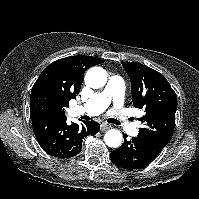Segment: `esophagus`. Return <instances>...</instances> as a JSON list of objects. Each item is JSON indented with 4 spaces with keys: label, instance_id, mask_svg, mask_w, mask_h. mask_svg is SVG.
Returning <instances> with one entry per match:
<instances>
[{
    "label": "esophagus",
    "instance_id": "esophagus-1",
    "mask_svg": "<svg viewBox=\"0 0 199 199\" xmlns=\"http://www.w3.org/2000/svg\"><path fill=\"white\" fill-rule=\"evenodd\" d=\"M109 128H111L110 124H107V123H102L101 124V131L108 130Z\"/></svg>",
    "mask_w": 199,
    "mask_h": 199
}]
</instances>
